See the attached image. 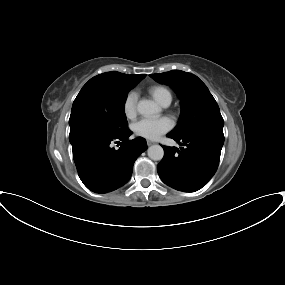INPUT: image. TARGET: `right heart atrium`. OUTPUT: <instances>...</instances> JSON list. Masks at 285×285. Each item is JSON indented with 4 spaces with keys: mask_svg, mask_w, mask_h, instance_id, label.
<instances>
[{
    "mask_svg": "<svg viewBox=\"0 0 285 285\" xmlns=\"http://www.w3.org/2000/svg\"><path fill=\"white\" fill-rule=\"evenodd\" d=\"M136 103L137 93L134 91L129 92L123 102V112L128 119H132L136 116Z\"/></svg>",
    "mask_w": 285,
    "mask_h": 285,
    "instance_id": "right-heart-atrium-1",
    "label": "right heart atrium"
}]
</instances>
